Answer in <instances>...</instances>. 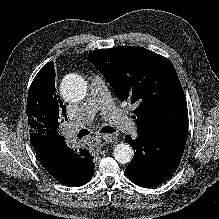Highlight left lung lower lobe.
<instances>
[{
	"mask_svg": "<svg viewBox=\"0 0 219 219\" xmlns=\"http://www.w3.org/2000/svg\"><path fill=\"white\" fill-rule=\"evenodd\" d=\"M125 141L134 149V158L126 168L128 178L136 185L151 188L165 182L177 169L185 144L172 143L153 135H141Z\"/></svg>",
	"mask_w": 219,
	"mask_h": 219,
	"instance_id": "left-lung-lower-lobe-1",
	"label": "left lung lower lobe"
}]
</instances>
